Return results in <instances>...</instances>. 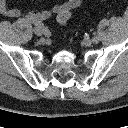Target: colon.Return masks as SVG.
<instances>
[{
  "label": "colon",
  "instance_id": "5ec220e1",
  "mask_svg": "<svg viewBox=\"0 0 128 128\" xmlns=\"http://www.w3.org/2000/svg\"><path fill=\"white\" fill-rule=\"evenodd\" d=\"M72 15V10H68V9H64L61 10L58 14H57V23L60 26H64L66 25V23L70 20Z\"/></svg>",
  "mask_w": 128,
  "mask_h": 128
}]
</instances>
